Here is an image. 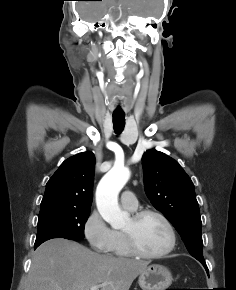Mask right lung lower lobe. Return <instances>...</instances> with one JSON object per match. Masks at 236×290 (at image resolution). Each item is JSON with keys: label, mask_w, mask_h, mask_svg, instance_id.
<instances>
[{"label": "right lung lower lobe", "mask_w": 236, "mask_h": 290, "mask_svg": "<svg viewBox=\"0 0 236 290\" xmlns=\"http://www.w3.org/2000/svg\"><path fill=\"white\" fill-rule=\"evenodd\" d=\"M38 246H34V249H36Z\"/></svg>", "instance_id": "1"}]
</instances>
